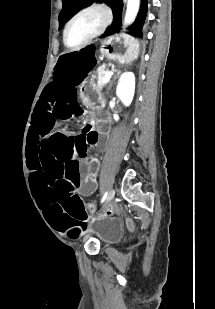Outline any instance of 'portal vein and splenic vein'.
<instances>
[{"instance_id":"portal-vein-and-splenic-vein-1","label":"portal vein and splenic vein","mask_w":215,"mask_h":309,"mask_svg":"<svg viewBox=\"0 0 215 309\" xmlns=\"http://www.w3.org/2000/svg\"><path fill=\"white\" fill-rule=\"evenodd\" d=\"M112 74H114V72H112V70H110V72H106V74L103 78V82H107V80H110Z\"/></svg>"}]
</instances>
